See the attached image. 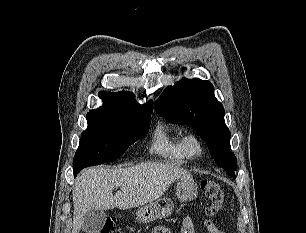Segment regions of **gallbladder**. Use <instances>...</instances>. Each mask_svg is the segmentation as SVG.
Returning a JSON list of instances; mask_svg holds the SVG:
<instances>
[{"instance_id": "obj_1", "label": "gallbladder", "mask_w": 306, "mask_h": 233, "mask_svg": "<svg viewBox=\"0 0 306 233\" xmlns=\"http://www.w3.org/2000/svg\"><path fill=\"white\" fill-rule=\"evenodd\" d=\"M104 210L92 208L83 219L82 230L86 233H99L106 221Z\"/></svg>"}]
</instances>
